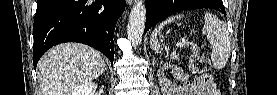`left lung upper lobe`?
<instances>
[{
  "instance_id": "left-lung-upper-lobe-1",
  "label": "left lung upper lobe",
  "mask_w": 277,
  "mask_h": 95,
  "mask_svg": "<svg viewBox=\"0 0 277 95\" xmlns=\"http://www.w3.org/2000/svg\"><path fill=\"white\" fill-rule=\"evenodd\" d=\"M179 3L181 6H189V7H195V6L201 5L198 2V0H180Z\"/></svg>"
}]
</instances>
